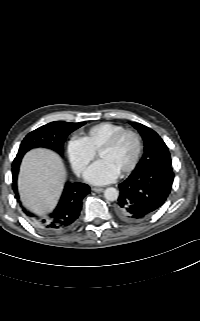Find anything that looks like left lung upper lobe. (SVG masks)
Returning <instances> with one entry per match:
<instances>
[{"label":"left lung upper lobe","mask_w":200,"mask_h":321,"mask_svg":"<svg viewBox=\"0 0 200 321\" xmlns=\"http://www.w3.org/2000/svg\"><path fill=\"white\" fill-rule=\"evenodd\" d=\"M131 125L138 130L144 141V154L136 169L147 166L171 167L170 153L161 137L151 128L140 123H131Z\"/></svg>","instance_id":"1"}]
</instances>
